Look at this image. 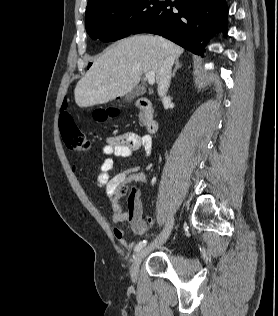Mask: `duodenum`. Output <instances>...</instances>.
<instances>
[{
    "label": "duodenum",
    "mask_w": 278,
    "mask_h": 316,
    "mask_svg": "<svg viewBox=\"0 0 278 316\" xmlns=\"http://www.w3.org/2000/svg\"><path fill=\"white\" fill-rule=\"evenodd\" d=\"M135 105L141 109L146 115L145 127L147 132L153 134L158 130V121L153 116V104L148 98H138Z\"/></svg>",
    "instance_id": "duodenum-1"
}]
</instances>
